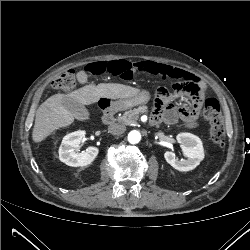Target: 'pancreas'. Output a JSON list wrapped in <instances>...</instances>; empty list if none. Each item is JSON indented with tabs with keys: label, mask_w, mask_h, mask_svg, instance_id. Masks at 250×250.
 I'll return each instance as SVG.
<instances>
[{
	"label": "pancreas",
	"mask_w": 250,
	"mask_h": 250,
	"mask_svg": "<svg viewBox=\"0 0 250 250\" xmlns=\"http://www.w3.org/2000/svg\"><path fill=\"white\" fill-rule=\"evenodd\" d=\"M147 111V106H140L138 108H134L133 110L126 111L123 116L118 117L116 120L120 123L134 126L137 123L139 115L146 113Z\"/></svg>",
	"instance_id": "1"
}]
</instances>
